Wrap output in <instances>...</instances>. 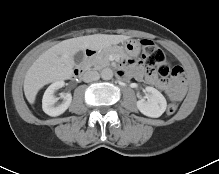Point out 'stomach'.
<instances>
[{
	"label": "stomach",
	"mask_w": 219,
	"mask_h": 174,
	"mask_svg": "<svg viewBox=\"0 0 219 174\" xmlns=\"http://www.w3.org/2000/svg\"><path fill=\"white\" fill-rule=\"evenodd\" d=\"M108 50L121 51L127 54L128 56L136 57L140 53L141 46H140V43L136 40H126V41L121 42L120 46L112 45L111 47L103 51H108Z\"/></svg>",
	"instance_id": "0dacf381"
}]
</instances>
